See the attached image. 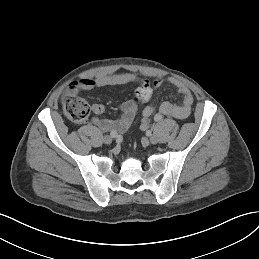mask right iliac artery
Here are the masks:
<instances>
[{
    "instance_id": "82829eb1",
    "label": "right iliac artery",
    "mask_w": 259,
    "mask_h": 259,
    "mask_svg": "<svg viewBox=\"0 0 259 259\" xmlns=\"http://www.w3.org/2000/svg\"><path fill=\"white\" fill-rule=\"evenodd\" d=\"M110 135H111L112 138H116L117 137V133L114 132V131H111Z\"/></svg>"
}]
</instances>
